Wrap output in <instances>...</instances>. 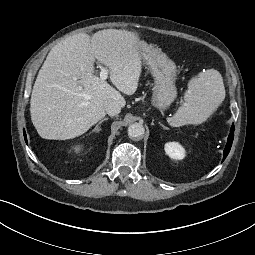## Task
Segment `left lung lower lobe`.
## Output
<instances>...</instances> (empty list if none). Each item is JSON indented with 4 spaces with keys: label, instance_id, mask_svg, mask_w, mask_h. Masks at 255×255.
<instances>
[{
    "label": "left lung lower lobe",
    "instance_id": "obj_1",
    "mask_svg": "<svg viewBox=\"0 0 255 255\" xmlns=\"http://www.w3.org/2000/svg\"><path fill=\"white\" fill-rule=\"evenodd\" d=\"M233 132H234V125H232L231 130H230V134L228 136V141H227L226 147L224 149L223 160L226 158V156L228 155V153H229V151L231 149L233 138H234V133Z\"/></svg>",
    "mask_w": 255,
    "mask_h": 255
}]
</instances>
